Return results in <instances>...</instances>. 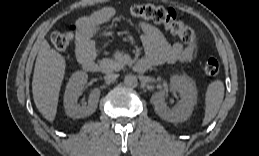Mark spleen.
<instances>
[{"mask_svg":"<svg viewBox=\"0 0 259 156\" xmlns=\"http://www.w3.org/2000/svg\"><path fill=\"white\" fill-rule=\"evenodd\" d=\"M224 98V84L221 80L211 82L205 94V114L202 125H207L218 113Z\"/></svg>","mask_w":259,"mask_h":156,"instance_id":"1","label":"spleen"}]
</instances>
